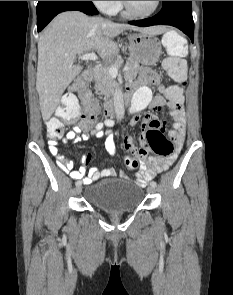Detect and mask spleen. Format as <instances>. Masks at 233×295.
<instances>
[{
    "mask_svg": "<svg viewBox=\"0 0 233 295\" xmlns=\"http://www.w3.org/2000/svg\"><path fill=\"white\" fill-rule=\"evenodd\" d=\"M162 41L170 55L177 54L178 52L184 50L183 41L174 33L165 34Z\"/></svg>",
    "mask_w": 233,
    "mask_h": 295,
    "instance_id": "obj_1",
    "label": "spleen"
}]
</instances>
